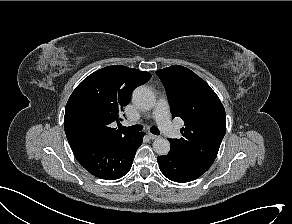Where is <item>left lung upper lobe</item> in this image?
I'll return each instance as SVG.
<instances>
[{
	"mask_svg": "<svg viewBox=\"0 0 292 224\" xmlns=\"http://www.w3.org/2000/svg\"><path fill=\"white\" fill-rule=\"evenodd\" d=\"M162 81L171 112L184 126L180 139H169L171 148L209 169L226 132L225 109L211 87L180 65L156 71Z\"/></svg>",
	"mask_w": 292,
	"mask_h": 224,
	"instance_id": "5c2ea615",
	"label": "left lung upper lobe"
}]
</instances>
